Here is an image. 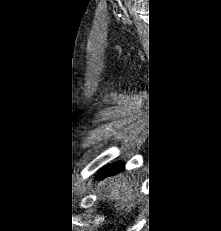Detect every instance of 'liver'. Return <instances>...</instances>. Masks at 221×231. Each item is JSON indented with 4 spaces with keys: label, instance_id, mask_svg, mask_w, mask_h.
Segmentation results:
<instances>
[{
    "label": "liver",
    "instance_id": "liver-1",
    "mask_svg": "<svg viewBox=\"0 0 221 231\" xmlns=\"http://www.w3.org/2000/svg\"><path fill=\"white\" fill-rule=\"evenodd\" d=\"M104 190L110 192V197L116 201L114 207L116 210H125L130 212L134 207L135 200L139 198V184L130 178L111 179L108 183L103 184ZM120 205V208L118 207ZM126 207V209H125Z\"/></svg>",
    "mask_w": 221,
    "mask_h": 231
}]
</instances>
